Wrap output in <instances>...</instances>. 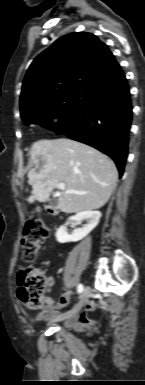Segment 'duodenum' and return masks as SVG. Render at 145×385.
Returning a JSON list of instances; mask_svg holds the SVG:
<instances>
[{"label":"duodenum","instance_id":"obj_1","mask_svg":"<svg viewBox=\"0 0 145 385\" xmlns=\"http://www.w3.org/2000/svg\"><path fill=\"white\" fill-rule=\"evenodd\" d=\"M49 213L51 215H56L57 214V211L55 209H48Z\"/></svg>","mask_w":145,"mask_h":385}]
</instances>
